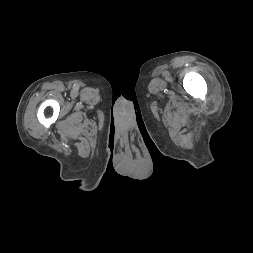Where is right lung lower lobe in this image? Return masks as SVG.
Returning a JSON list of instances; mask_svg holds the SVG:
<instances>
[{"label":"right lung lower lobe","mask_w":253,"mask_h":253,"mask_svg":"<svg viewBox=\"0 0 253 253\" xmlns=\"http://www.w3.org/2000/svg\"><path fill=\"white\" fill-rule=\"evenodd\" d=\"M150 153H151V155L154 157V156H158V157H160V156H163L161 153H160V151L156 148V146H151L150 147Z\"/></svg>","instance_id":"right-lung-lower-lobe-1"}]
</instances>
